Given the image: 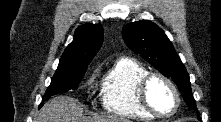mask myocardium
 Segmentation results:
<instances>
[{
	"mask_svg": "<svg viewBox=\"0 0 221 122\" xmlns=\"http://www.w3.org/2000/svg\"><path fill=\"white\" fill-rule=\"evenodd\" d=\"M160 79L163 82H165L170 89L172 90L174 97H175V107L173 109V111H171L170 113H160L158 112L150 103L149 98H148V87L150 82L153 79ZM137 97L139 100L140 105L151 115H153L154 117H158V118H170L172 116H174L181 105V97H180V93L178 91V88L176 87L175 83L166 75L160 73V72H151V73H147L144 77L141 78V80L138 82L137 84Z\"/></svg>",
	"mask_w": 221,
	"mask_h": 122,
	"instance_id": "f54148a6",
	"label": "myocardium"
}]
</instances>
